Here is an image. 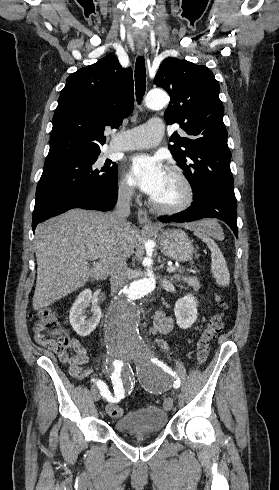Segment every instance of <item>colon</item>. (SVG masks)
Returning a JSON list of instances; mask_svg holds the SVG:
<instances>
[{"instance_id": "5ec220e1", "label": "colon", "mask_w": 279, "mask_h": 490, "mask_svg": "<svg viewBox=\"0 0 279 490\" xmlns=\"http://www.w3.org/2000/svg\"><path fill=\"white\" fill-rule=\"evenodd\" d=\"M217 300L221 308L225 309L227 307L223 299L217 298ZM35 319V334L38 342L43 347L55 353L64 354L73 347V341H78L70 337L68 329H63L59 326L53 311L41 309L36 313ZM224 322L225 315L223 313L215 314L200 334L196 343V359L199 364L207 361L210 343L222 330ZM106 410L112 418H120L123 415L122 407L116 404H108Z\"/></svg>"}]
</instances>
